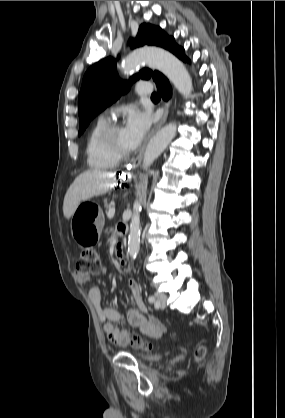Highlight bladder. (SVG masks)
<instances>
[{
	"label": "bladder",
	"mask_w": 285,
	"mask_h": 418,
	"mask_svg": "<svg viewBox=\"0 0 285 418\" xmlns=\"http://www.w3.org/2000/svg\"><path fill=\"white\" fill-rule=\"evenodd\" d=\"M134 356L138 361H142V362H155L159 360L158 356H154V355H151L149 353H144V352L136 353Z\"/></svg>",
	"instance_id": "1"
}]
</instances>
